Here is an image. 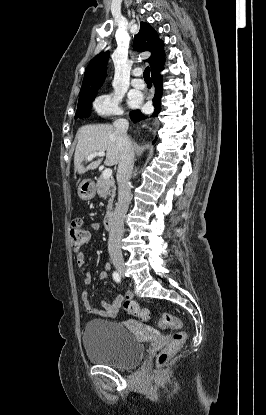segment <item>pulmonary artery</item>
<instances>
[{"mask_svg": "<svg viewBox=\"0 0 266 415\" xmlns=\"http://www.w3.org/2000/svg\"><path fill=\"white\" fill-rule=\"evenodd\" d=\"M133 74H134V76H140L141 71L139 69H136V70H134ZM131 83H132V86H134L135 88H138V89H143L145 87L144 81L140 78H137V77L132 79Z\"/></svg>", "mask_w": 266, "mask_h": 415, "instance_id": "obj_1", "label": "pulmonary artery"}]
</instances>
